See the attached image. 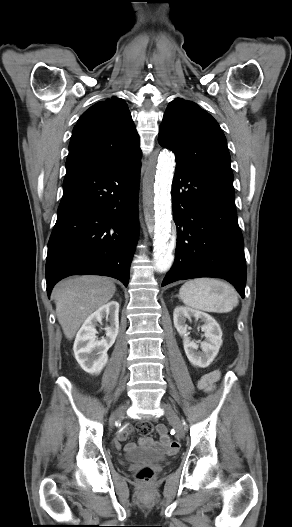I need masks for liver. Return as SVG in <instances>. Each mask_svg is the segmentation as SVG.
<instances>
[{"label": "liver", "mask_w": 292, "mask_h": 527, "mask_svg": "<svg viewBox=\"0 0 292 527\" xmlns=\"http://www.w3.org/2000/svg\"><path fill=\"white\" fill-rule=\"evenodd\" d=\"M115 284L106 277L83 275L60 281L52 295L57 319L65 337L73 339L82 323L115 294Z\"/></svg>", "instance_id": "obj_1"}]
</instances>
